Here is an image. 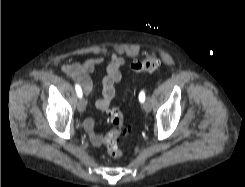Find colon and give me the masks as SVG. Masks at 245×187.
Here are the masks:
<instances>
[{
  "instance_id": "1",
  "label": "colon",
  "mask_w": 245,
  "mask_h": 187,
  "mask_svg": "<svg viewBox=\"0 0 245 187\" xmlns=\"http://www.w3.org/2000/svg\"><path fill=\"white\" fill-rule=\"evenodd\" d=\"M160 64L161 59L159 54L152 52L147 54L143 60L132 63L131 69L136 73L152 72L157 69ZM108 114L113 124V129L104 138L103 144L111 157L118 158L122 155V150L119 148L117 141L129 132V128L124 124V115L119 107H110Z\"/></svg>"
}]
</instances>
